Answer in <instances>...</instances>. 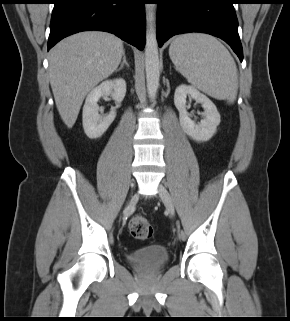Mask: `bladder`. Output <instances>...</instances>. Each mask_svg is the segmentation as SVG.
Wrapping results in <instances>:
<instances>
[{
	"mask_svg": "<svg viewBox=\"0 0 290 321\" xmlns=\"http://www.w3.org/2000/svg\"><path fill=\"white\" fill-rule=\"evenodd\" d=\"M129 265L141 269L157 270L170 260V252L160 245H148L126 255Z\"/></svg>",
	"mask_w": 290,
	"mask_h": 321,
	"instance_id": "31cf9c89",
	"label": "bladder"
}]
</instances>
